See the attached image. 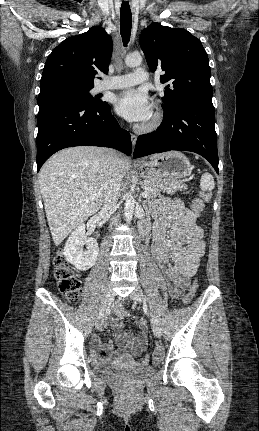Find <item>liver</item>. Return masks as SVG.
Instances as JSON below:
<instances>
[{
	"mask_svg": "<svg viewBox=\"0 0 259 431\" xmlns=\"http://www.w3.org/2000/svg\"><path fill=\"white\" fill-rule=\"evenodd\" d=\"M107 153L98 147H71L54 154L41 168L39 186L56 246L101 208ZM129 168L128 158L119 155L122 177Z\"/></svg>",
	"mask_w": 259,
	"mask_h": 431,
	"instance_id": "1",
	"label": "liver"
}]
</instances>
